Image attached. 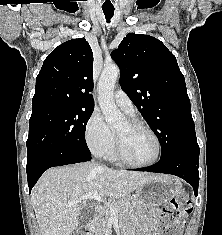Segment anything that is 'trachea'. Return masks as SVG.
<instances>
[{"label": "trachea", "instance_id": "3493384b", "mask_svg": "<svg viewBox=\"0 0 222 235\" xmlns=\"http://www.w3.org/2000/svg\"><path fill=\"white\" fill-rule=\"evenodd\" d=\"M102 10L104 12L107 23H110V20L114 15V7H111V8H105L104 7V8H102Z\"/></svg>", "mask_w": 222, "mask_h": 235}]
</instances>
